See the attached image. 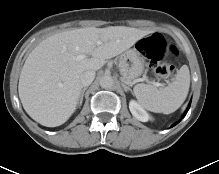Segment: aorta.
I'll list each match as a JSON object with an SVG mask.
<instances>
[{
	"label": "aorta",
	"mask_w": 219,
	"mask_h": 174,
	"mask_svg": "<svg viewBox=\"0 0 219 174\" xmlns=\"http://www.w3.org/2000/svg\"><path fill=\"white\" fill-rule=\"evenodd\" d=\"M99 83L102 88L107 89V88H111L114 85V80L111 76L105 75L101 77Z\"/></svg>",
	"instance_id": "762f6f07"
}]
</instances>
